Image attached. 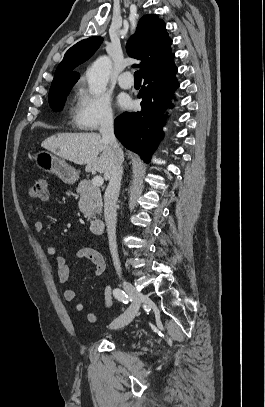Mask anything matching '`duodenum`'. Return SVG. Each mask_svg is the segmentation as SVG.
Segmentation results:
<instances>
[{"label":"duodenum","instance_id":"410a0bca","mask_svg":"<svg viewBox=\"0 0 265 407\" xmlns=\"http://www.w3.org/2000/svg\"><path fill=\"white\" fill-rule=\"evenodd\" d=\"M105 223L101 218H94L91 220L90 229L93 233L101 234L104 232Z\"/></svg>","mask_w":265,"mask_h":407}]
</instances>
